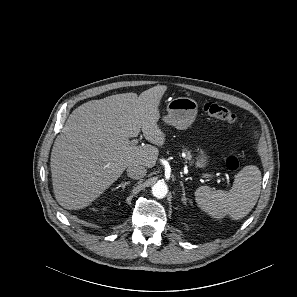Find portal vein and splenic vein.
Instances as JSON below:
<instances>
[{"label": "portal vein and splenic vein", "instance_id": "1", "mask_svg": "<svg viewBox=\"0 0 297 297\" xmlns=\"http://www.w3.org/2000/svg\"><path fill=\"white\" fill-rule=\"evenodd\" d=\"M138 143V140L137 139H134L131 141V144L132 145H136ZM203 178H207V179H215L217 178L218 176L217 175H214V174H209V173H204L201 175Z\"/></svg>", "mask_w": 297, "mask_h": 297}]
</instances>
